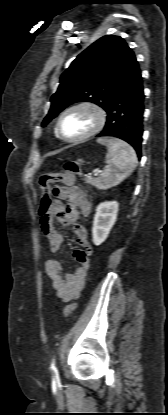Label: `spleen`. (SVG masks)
Here are the masks:
<instances>
[{"label": "spleen", "instance_id": "1", "mask_svg": "<svg viewBox=\"0 0 168 415\" xmlns=\"http://www.w3.org/2000/svg\"><path fill=\"white\" fill-rule=\"evenodd\" d=\"M97 142L108 149L106 169L97 179V187L109 189L131 175L137 165L136 152L128 143L117 138H99Z\"/></svg>", "mask_w": 168, "mask_h": 415}]
</instances>
